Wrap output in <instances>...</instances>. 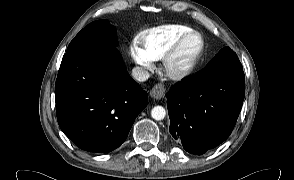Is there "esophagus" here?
<instances>
[{
  "mask_svg": "<svg viewBox=\"0 0 294 180\" xmlns=\"http://www.w3.org/2000/svg\"><path fill=\"white\" fill-rule=\"evenodd\" d=\"M166 89L163 84L158 83L156 84L151 90L150 95L152 98L160 100L165 96Z\"/></svg>",
  "mask_w": 294,
  "mask_h": 180,
  "instance_id": "1",
  "label": "esophagus"
}]
</instances>
